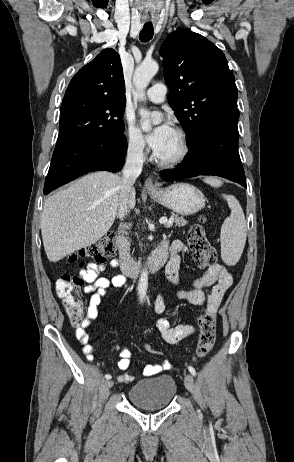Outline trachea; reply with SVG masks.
<instances>
[{
	"mask_svg": "<svg viewBox=\"0 0 294 462\" xmlns=\"http://www.w3.org/2000/svg\"><path fill=\"white\" fill-rule=\"evenodd\" d=\"M154 34V28L152 23H145L142 31L139 34V39L142 42H148L152 39Z\"/></svg>",
	"mask_w": 294,
	"mask_h": 462,
	"instance_id": "obj_1",
	"label": "trachea"
}]
</instances>
